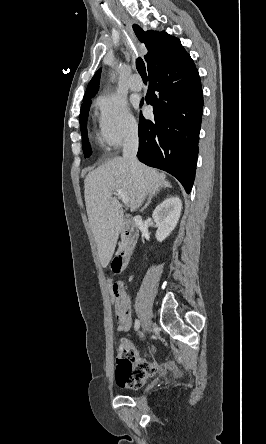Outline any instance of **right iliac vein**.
<instances>
[{"label":"right iliac vein","mask_w":266,"mask_h":444,"mask_svg":"<svg viewBox=\"0 0 266 444\" xmlns=\"http://www.w3.org/2000/svg\"><path fill=\"white\" fill-rule=\"evenodd\" d=\"M150 328V321L148 319H144L142 322V330L143 332H147Z\"/></svg>","instance_id":"obj_1"}]
</instances>
